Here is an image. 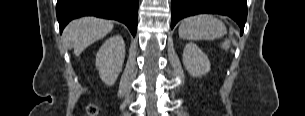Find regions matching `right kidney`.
<instances>
[{"instance_id": "ca27d5eb", "label": "right kidney", "mask_w": 305, "mask_h": 116, "mask_svg": "<svg viewBox=\"0 0 305 116\" xmlns=\"http://www.w3.org/2000/svg\"><path fill=\"white\" fill-rule=\"evenodd\" d=\"M125 58V44L121 35L106 40L96 55V67L101 80L113 85L117 80Z\"/></svg>"}]
</instances>
